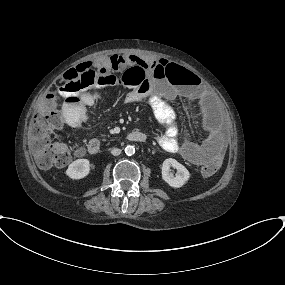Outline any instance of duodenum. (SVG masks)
I'll return each instance as SVG.
<instances>
[{
	"label": "duodenum",
	"instance_id": "duodenum-1",
	"mask_svg": "<svg viewBox=\"0 0 285 285\" xmlns=\"http://www.w3.org/2000/svg\"><path fill=\"white\" fill-rule=\"evenodd\" d=\"M128 140L132 142H144L146 140V136L141 131H131L127 135ZM102 142L99 139H92L89 141L87 145V150L91 155H97L101 152Z\"/></svg>",
	"mask_w": 285,
	"mask_h": 285
}]
</instances>
